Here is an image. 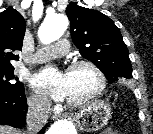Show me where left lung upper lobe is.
Listing matches in <instances>:
<instances>
[{"mask_svg":"<svg viewBox=\"0 0 153 134\" xmlns=\"http://www.w3.org/2000/svg\"><path fill=\"white\" fill-rule=\"evenodd\" d=\"M66 14L71 22L72 40L80 54L92 61L108 81L133 78L127 47L109 17L76 3L68 5Z\"/></svg>","mask_w":153,"mask_h":134,"instance_id":"1","label":"left lung upper lobe"}]
</instances>
